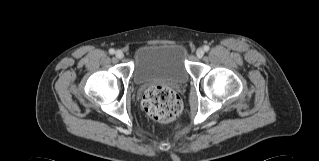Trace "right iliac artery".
I'll return each instance as SVG.
<instances>
[{
	"mask_svg": "<svg viewBox=\"0 0 319 161\" xmlns=\"http://www.w3.org/2000/svg\"><path fill=\"white\" fill-rule=\"evenodd\" d=\"M109 53H110V54H114V53H115V50H114V49H110V50H109Z\"/></svg>",
	"mask_w": 319,
	"mask_h": 161,
	"instance_id": "82829eb1",
	"label": "right iliac artery"
}]
</instances>
